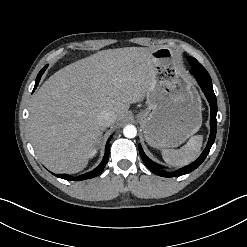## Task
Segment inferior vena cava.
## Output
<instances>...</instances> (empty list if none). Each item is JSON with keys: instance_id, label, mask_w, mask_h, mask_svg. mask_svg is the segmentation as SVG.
Here are the masks:
<instances>
[{"instance_id": "1", "label": "inferior vena cava", "mask_w": 247, "mask_h": 247, "mask_svg": "<svg viewBox=\"0 0 247 247\" xmlns=\"http://www.w3.org/2000/svg\"><path fill=\"white\" fill-rule=\"evenodd\" d=\"M116 116L112 111L104 110L98 116V121L102 128H107L115 123Z\"/></svg>"}]
</instances>
